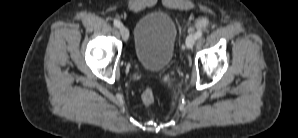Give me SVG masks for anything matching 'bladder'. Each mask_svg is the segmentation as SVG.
<instances>
[{
	"mask_svg": "<svg viewBox=\"0 0 298 138\" xmlns=\"http://www.w3.org/2000/svg\"><path fill=\"white\" fill-rule=\"evenodd\" d=\"M176 38L177 28L169 14L157 11L145 15L134 31L137 62L147 70H165L173 58Z\"/></svg>",
	"mask_w": 298,
	"mask_h": 138,
	"instance_id": "1",
	"label": "bladder"
}]
</instances>
